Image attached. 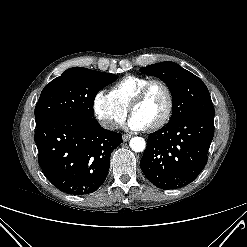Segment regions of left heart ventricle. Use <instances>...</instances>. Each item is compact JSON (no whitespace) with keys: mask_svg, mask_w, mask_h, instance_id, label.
<instances>
[{"mask_svg":"<svg viewBox=\"0 0 247 247\" xmlns=\"http://www.w3.org/2000/svg\"><path fill=\"white\" fill-rule=\"evenodd\" d=\"M166 108V94L161 87L155 86L151 89L145 100L135 107L133 114L140 117L150 126L161 119Z\"/></svg>","mask_w":247,"mask_h":247,"instance_id":"b2bd125f","label":"left heart ventricle"}]
</instances>
